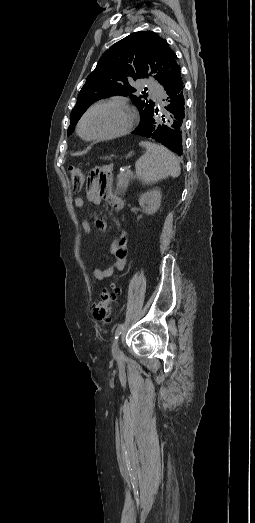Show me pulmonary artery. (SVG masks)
<instances>
[{
	"label": "pulmonary artery",
	"instance_id": "e3ab8cb5",
	"mask_svg": "<svg viewBox=\"0 0 255 523\" xmlns=\"http://www.w3.org/2000/svg\"><path fill=\"white\" fill-rule=\"evenodd\" d=\"M145 90L150 91L149 98L153 101V106L155 108H160L162 106V101L165 98L163 93V85L157 78L147 79L144 85Z\"/></svg>",
	"mask_w": 255,
	"mask_h": 523
}]
</instances>
